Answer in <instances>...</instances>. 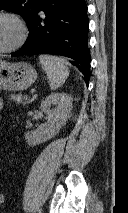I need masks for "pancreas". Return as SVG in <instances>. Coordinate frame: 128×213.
I'll use <instances>...</instances> for the list:
<instances>
[{"mask_svg": "<svg viewBox=\"0 0 128 213\" xmlns=\"http://www.w3.org/2000/svg\"><path fill=\"white\" fill-rule=\"evenodd\" d=\"M11 100H14L17 104L26 105L31 102V100L27 99V97H22V95H11Z\"/></svg>", "mask_w": 128, "mask_h": 213, "instance_id": "obj_1", "label": "pancreas"}]
</instances>
